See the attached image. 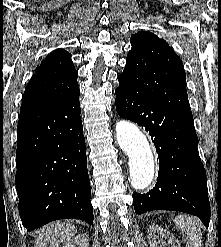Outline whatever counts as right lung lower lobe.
Wrapping results in <instances>:
<instances>
[{
  "instance_id": "obj_1",
  "label": "right lung lower lobe",
  "mask_w": 221,
  "mask_h": 247,
  "mask_svg": "<svg viewBox=\"0 0 221 247\" xmlns=\"http://www.w3.org/2000/svg\"><path fill=\"white\" fill-rule=\"evenodd\" d=\"M79 94L20 112L15 184L28 231L65 218L93 223Z\"/></svg>"
}]
</instances>
